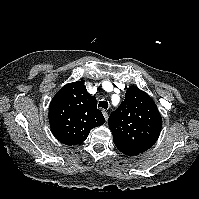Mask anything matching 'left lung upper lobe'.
<instances>
[{
	"label": "left lung upper lobe",
	"instance_id": "1",
	"mask_svg": "<svg viewBox=\"0 0 199 199\" xmlns=\"http://www.w3.org/2000/svg\"><path fill=\"white\" fill-rule=\"evenodd\" d=\"M113 142L122 153L137 155L152 147L160 134L162 118L153 99L131 86L125 100L108 120Z\"/></svg>",
	"mask_w": 199,
	"mask_h": 199
}]
</instances>
